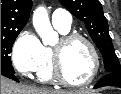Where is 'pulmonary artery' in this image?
<instances>
[{"label": "pulmonary artery", "mask_w": 121, "mask_h": 94, "mask_svg": "<svg viewBox=\"0 0 121 94\" xmlns=\"http://www.w3.org/2000/svg\"><path fill=\"white\" fill-rule=\"evenodd\" d=\"M71 14L65 9H56L52 14V23L56 27L70 28Z\"/></svg>", "instance_id": "1"}]
</instances>
